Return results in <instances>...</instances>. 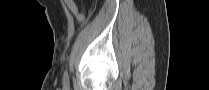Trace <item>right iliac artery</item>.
<instances>
[{
    "instance_id": "obj_1",
    "label": "right iliac artery",
    "mask_w": 209,
    "mask_h": 90,
    "mask_svg": "<svg viewBox=\"0 0 209 90\" xmlns=\"http://www.w3.org/2000/svg\"><path fill=\"white\" fill-rule=\"evenodd\" d=\"M63 85L65 90H69V76L67 71H65L63 75Z\"/></svg>"
}]
</instances>
